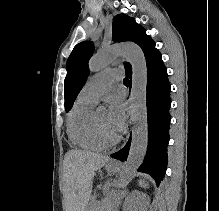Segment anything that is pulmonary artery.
<instances>
[{"label": "pulmonary artery", "instance_id": "obj_1", "mask_svg": "<svg viewBox=\"0 0 219 211\" xmlns=\"http://www.w3.org/2000/svg\"><path fill=\"white\" fill-rule=\"evenodd\" d=\"M121 69L101 71L90 78L78 94V98L96 104L99 98L106 93L113 82L120 80Z\"/></svg>", "mask_w": 219, "mask_h": 211}]
</instances>
